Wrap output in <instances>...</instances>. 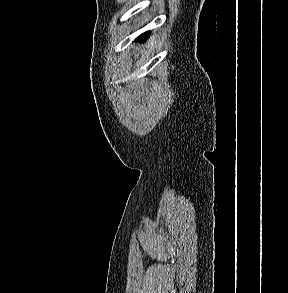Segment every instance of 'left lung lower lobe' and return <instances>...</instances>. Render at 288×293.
Listing matches in <instances>:
<instances>
[{
	"mask_svg": "<svg viewBox=\"0 0 288 293\" xmlns=\"http://www.w3.org/2000/svg\"><path fill=\"white\" fill-rule=\"evenodd\" d=\"M149 33L148 32H145L143 34H141L137 39L136 41L137 42H142L143 40H145L147 37H148Z\"/></svg>",
	"mask_w": 288,
	"mask_h": 293,
	"instance_id": "0a47b994",
	"label": "left lung lower lobe"
}]
</instances>
